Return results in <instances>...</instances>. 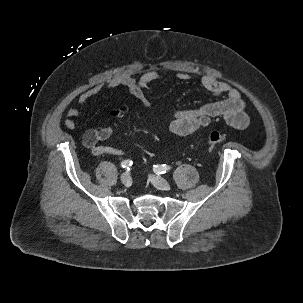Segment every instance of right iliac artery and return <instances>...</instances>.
Here are the masks:
<instances>
[{
	"label": "right iliac artery",
	"mask_w": 303,
	"mask_h": 303,
	"mask_svg": "<svg viewBox=\"0 0 303 303\" xmlns=\"http://www.w3.org/2000/svg\"><path fill=\"white\" fill-rule=\"evenodd\" d=\"M132 165V161L127 159L121 162V167L125 169H129V167Z\"/></svg>",
	"instance_id": "82829eb1"
}]
</instances>
